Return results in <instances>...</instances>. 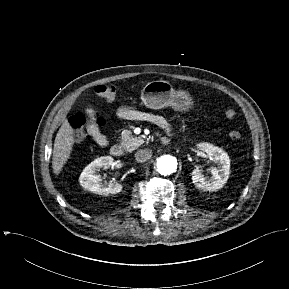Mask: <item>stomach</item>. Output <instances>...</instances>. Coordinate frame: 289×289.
<instances>
[{
  "label": "stomach",
  "mask_w": 289,
  "mask_h": 289,
  "mask_svg": "<svg viewBox=\"0 0 289 289\" xmlns=\"http://www.w3.org/2000/svg\"><path fill=\"white\" fill-rule=\"evenodd\" d=\"M141 100L151 109L172 107L176 111H188L193 101L190 94L183 90H175L164 80L151 81L141 91Z\"/></svg>",
  "instance_id": "1"
}]
</instances>
